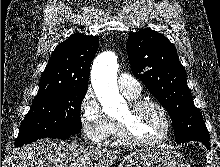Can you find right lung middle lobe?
<instances>
[{
    "label": "right lung middle lobe",
    "mask_w": 220,
    "mask_h": 167,
    "mask_svg": "<svg viewBox=\"0 0 220 167\" xmlns=\"http://www.w3.org/2000/svg\"><path fill=\"white\" fill-rule=\"evenodd\" d=\"M87 88H68L33 100L21 123L15 146L39 138H57L81 131L80 109Z\"/></svg>",
    "instance_id": "dd1d6c3e"
}]
</instances>
